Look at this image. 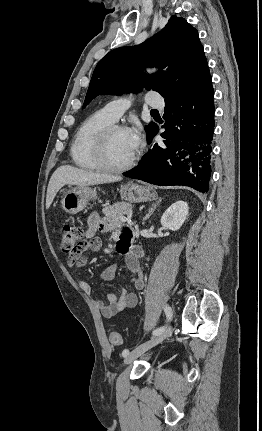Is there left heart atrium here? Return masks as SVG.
Returning a JSON list of instances; mask_svg holds the SVG:
<instances>
[{"instance_id": "39dd6f15", "label": "left heart atrium", "mask_w": 262, "mask_h": 431, "mask_svg": "<svg viewBox=\"0 0 262 431\" xmlns=\"http://www.w3.org/2000/svg\"><path fill=\"white\" fill-rule=\"evenodd\" d=\"M127 136L132 149L136 152L142 145L143 137L139 128L127 129Z\"/></svg>"}]
</instances>
